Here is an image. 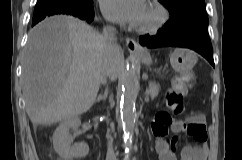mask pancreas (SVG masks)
<instances>
[{
	"mask_svg": "<svg viewBox=\"0 0 242 160\" xmlns=\"http://www.w3.org/2000/svg\"><path fill=\"white\" fill-rule=\"evenodd\" d=\"M159 93V86L154 83L151 82L149 83V95L151 96L152 99H154Z\"/></svg>",
	"mask_w": 242,
	"mask_h": 160,
	"instance_id": "obj_1",
	"label": "pancreas"
}]
</instances>
